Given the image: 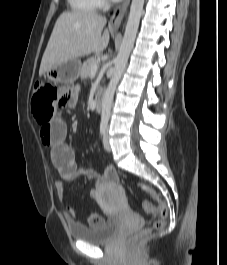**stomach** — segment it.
I'll list each match as a JSON object with an SVG mask.
<instances>
[{
  "instance_id": "1",
  "label": "stomach",
  "mask_w": 227,
  "mask_h": 265,
  "mask_svg": "<svg viewBox=\"0 0 227 265\" xmlns=\"http://www.w3.org/2000/svg\"><path fill=\"white\" fill-rule=\"evenodd\" d=\"M80 71L81 62L79 60H70L50 68L45 76L53 83L66 84V81H76L80 75Z\"/></svg>"
}]
</instances>
